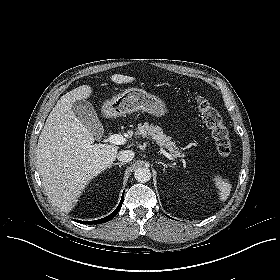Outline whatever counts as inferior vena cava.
I'll return each mask as SVG.
<instances>
[{
    "instance_id": "inferior-vena-cava-1",
    "label": "inferior vena cava",
    "mask_w": 280,
    "mask_h": 280,
    "mask_svg": "<svg viewBox=\"0 0 280 280\" xmlns=\"http://www.w3.org/2000/svg\"><path fill=\"white\" fill-rule=\"evenodd\" d=\"M135 156L132 150H123L117 154V159L122 163L130 162Z\"/></svg>"
}]
</instances>
